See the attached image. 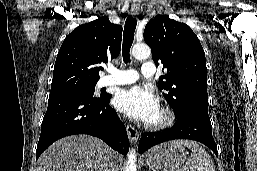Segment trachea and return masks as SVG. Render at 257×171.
Returning a JSON list of instances; mask_svg holds the SVG:
<instances>
[{"label": "trachea", "mask_w": 257, "mask_h": 171, "mask_svg": "<svg viewBox=\"0 0 257 171\" xmlns=\"http://www.w3.org/2000/svg\"><path fill=\"white\" fill-rule=\"evenodd\" d=\"M137 25L136 18L129 15L125 22L123 32L122 55L124 63L130 62V48L134 40V32Z\"/></svg>", "instance_id": "trachea-1"}]
</instances>
